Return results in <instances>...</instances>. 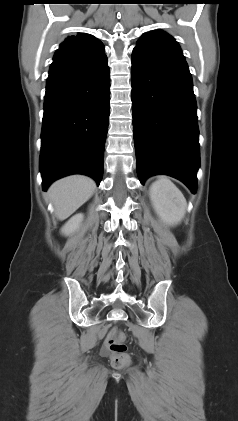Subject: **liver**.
<instances>
[{"instance_id":"1","label":"liver","mask_w":238,"mask_h":421,"mask_svg":"<svg viewBox=\"0 0 238 421\" xmlns=\"http://www.w3.org/2000/svg\"><path fill=\"white\" fill-rule=\"evenodd\" d=\"M95 188V182L82 175H73L54 182L48 190V197L54 205L57 218H68L89 200Z\"/></svg>"}]
</instances>
